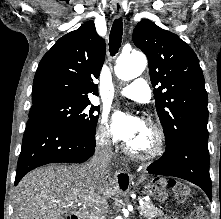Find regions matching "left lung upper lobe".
Wrapping results in <instances>:
<instances>
[{"instance_id":"left-lung-upper-lobe-1","label":"left lung upper lobe","mask_w":221,"mask_h":219,"mask_svg":"<svg viewBox=\"0 0 221 219\" xmlns=\"http://www.w3.org/2000/svg\"><path fill=\"white\" fill-rule=\"evenodd\" d=\"M133 42L148 58L166 147L178 144L188 133L208 137V98L194 51L176 34L148 19L135 27Z\"/></svg>"}]
</instances>
